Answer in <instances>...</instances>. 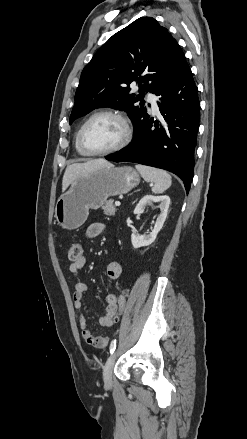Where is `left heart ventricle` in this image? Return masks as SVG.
I'll return each instance as SVG.
<instances>
[{
  "label": "left heart ventricle",
  "instance_id": "1",
  "mask_svg": "<svg viewBox=\"0 0 247 439\" xmlns=\"http://www.w3.org/2000/svg\"><path fill=\"white\" fill-rule=\"evenodd\" d=\"M122 123L111 116H100L92 120L84 131V143L91 151L110 149L123 139Z\"/></svg>",
  "mask_w": 247,
  "mask_h": 439
}]
</instances>
